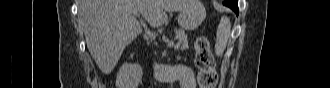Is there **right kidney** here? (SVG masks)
Wrapping results in <instances>:
<instances>
[{
  "label": "right kidney",
  "mask_w": 330,
  "mask_h": 88,
  "mask_svg": "<svg viewBox=\"0 0 330 88\" xmlns=\"http://www.w3.org/2000/svg\"><path fill=\"white\" fill-rule=\"evenodd\" d=\"M143 75L142 67L138 64L124 63L116 77L117 88H137Z\"/></svg>",
  "instance_id": "right-kidney-1"
}]
</instances>
